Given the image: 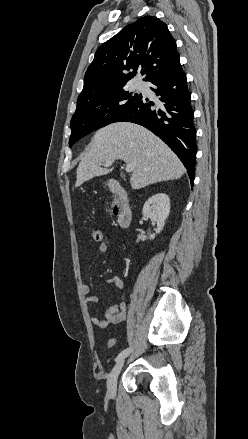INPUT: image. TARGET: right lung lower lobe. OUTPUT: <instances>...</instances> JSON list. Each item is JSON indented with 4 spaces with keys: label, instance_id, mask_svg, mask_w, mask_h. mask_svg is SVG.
Masks as SVG:
<instances>
[{
    "label": "right lung lower lobe",
    "instance_id": "right-lung-lower-lobe-1",
    "mask_svg": "<svg viewBox=\"0 0 248 439\" xmlns=\"http://www.w3.org/2000/svg\"><path fill=\"white\" fill-rule=\"evenodd\" d=\"M151 89L159 96L154 103L141 100L119 121L142 125L159 136L179 157L187 169L191 185L196 165V130L191 94L181 65L150 81Z\"/></svg>",
    "mask_w": 248,
    "mask_h": 439
}]
</instances>
